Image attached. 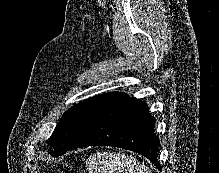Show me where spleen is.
Returning a JSON list of instances; mask_svg holds the SVG:
<instances>
[{"instance_id":"obj_1","label":"spleen","mask_w":219,"mask_h":173,"mask_svg":"<svg viewBox=\"0 0 219 173\" xmlns=\"http://www.w3.org/2000/svg\"><path fill=\"white\" fill-rule=\"evenodd\" d=\"M89 173H150L135 158L116 153L94 155L88 163Z\"/></svg>"}]
</instances>
